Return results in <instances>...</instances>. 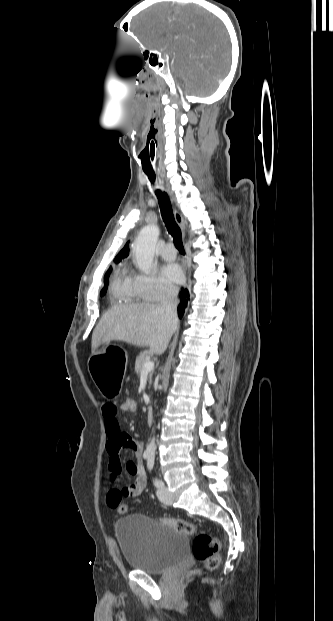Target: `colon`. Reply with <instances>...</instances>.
<instances>
[{"instance_id": "1", "label": "colon", "mask_w": 333, "mask_h": 621, "mask_svg": "<svg viewBox=\"0 0 333 621\" xmlns=\"http://www.w3.org/2000/svg\"><path fill=\"white\" fill-rule=\"evenodd\" d=\"M120 407L123 412L135 413L138 409L135 396L133 394L123 395L121 397ZM116 509L119 513H125L127 511V507L123 502L119 503ZM162 522L187 535H194L196 533L195 526L183 519L166 517L162 519ZM221 548L220 540L209 534H197L193 541L194 557L203 564V568L206 570H214L219 566Z\"/></svg>"}]
</instances>
